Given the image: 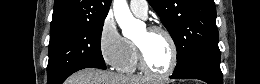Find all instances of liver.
Listing matches in <instances>:
<instances>
[{"label": "liver", "instance_id": "1", "mask_svg": "<svg viewBox=\"0 0 260 84\" xmlns=\"http://www.w3.org/2000/svg\"><path fill=\"white\" fill-rule=\"evenodd\" d=\"M68 84H150V80L136 75H119L94 68L74 73Z\"/></svg>", "mask_w": 260, "mask_h": 84}]
</instances>
